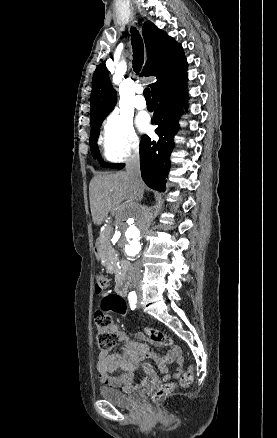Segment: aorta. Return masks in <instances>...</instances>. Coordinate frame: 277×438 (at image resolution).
Instances as JSON below:
<instances>
[{
	"label": "aorta",
	"mask_w": 277,
	"mask_h": 438,
	"mask_svg": "<svg viewBox=\"0 0 277 438\" xmlns=\"http://www.w3.org/2000/svg\"><path fill=\"white\" fill-rule=\"evenodd\" d=\"M147 230V218L142 211H128L119 215L115 239L127 258L134 259L140 255Z\"/></svg>",
	"instance_id": "aorta-1"
}]
</instances>
